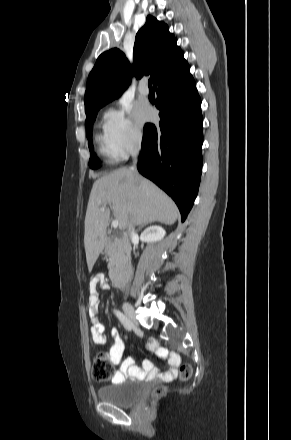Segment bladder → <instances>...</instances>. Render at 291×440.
I'll use <instances>...</instances> for the list:
<instances>
[{"instance_id":"1","label":"bladder","mask_w":291,"mask_h":440,"mask_svg":"<svg viewBox=\"0 0 291 440\" xmlns=\"http://www.w3.org/2000/svg\"><path fill=\"white\" fill-rule=\"evenodd\" d=\"M141 382L135 380H122L114 384L100 387L96 395L99 400L115 404L119 407L134 405L142 395Z\"/></svg>"}]
</instances>
